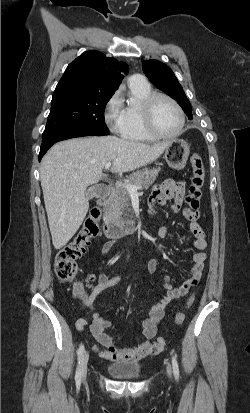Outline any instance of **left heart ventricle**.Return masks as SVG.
<instances>
[{"label":"left heart ventricle","instance_id":"obj_1","mask_svg":"<svg viewBox=\"0 0 250 413\" xmlns=\"http://www.w3.org/2000/svg\"><path fill=\"white\" fill-rule=\"evenodd\" d=\"M153 120L155 128L162 134H172L180 125V116L176 108L165 99L156 102Z\"/></svg>","mask_w":250,"mask_h":413}]
</instances>
